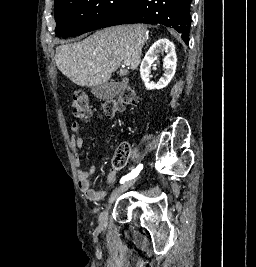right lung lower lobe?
Instances as JSON below:
<instances>
[{"label": "right lung lower lobe", "mask_w": 256, "mask_h": 267, "mask_svg": "<svg viewBox=\"0 0 256 267\" xmlns=\"http://www.w3.org/2000/svg\"><path fill=\"white\" fill-rule=\"evenodd\" d=\"M192 0H135V2L103 27L119 24H163L179 33L189 43L191 25L190 3ZM102 27V28H103Z\"/></svg>", "instance_id": "obj_1"}]
</instances>
